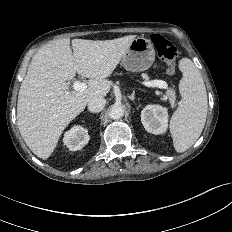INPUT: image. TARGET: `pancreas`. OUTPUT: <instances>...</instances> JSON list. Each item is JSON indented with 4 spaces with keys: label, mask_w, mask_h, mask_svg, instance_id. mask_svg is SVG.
<instances>
[{
    "label": "pancreas",
    "mask_w": 232,
    "mask_h": 232,
    "mask_svg": "<svg viewBox=\"0 0 232 232\" xmlns=\"http://www.w3.org/2000/svg\"><path fill=\"white\" fill-rule=\"evenodd\" d=\"M166 94L169 98L170 103L174 104L175 99H176L175 91L172 89H168Z\"/></svg>",
    "instance_id": "cf45deb5"
}]
</instances>
